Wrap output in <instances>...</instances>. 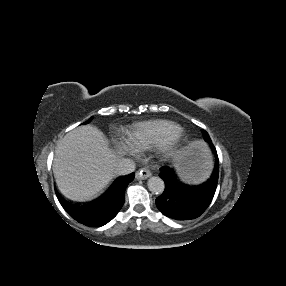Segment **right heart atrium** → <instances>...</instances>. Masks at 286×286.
<instances>
[{"instance_id": "obj_1", "label": "right heart atrium", "mask_w": 286, "mask_h": 286, "mask_svg": "<svg viewBox=\"0 0 286 286\" xmlns=\"http://www.w3.org/2000/svg\"><path fill=\"white\" fill-rule=\"evenodd\" d=\"M115 144L117 148L126 155H134L138 151L136 145L127 137L116 140Z\"/></svg>"}]
</instances>
